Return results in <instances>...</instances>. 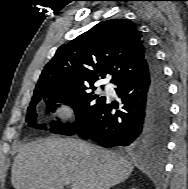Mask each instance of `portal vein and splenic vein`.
I'll use <instances>...</instances> for the list:
<instances>
[{
  "label": "portal vein and splenic vein",
  "instance_id": "portal-vein-and-splenic-vein-1",
  "mask_svg": "<svg viewBox=\"0 0 188 189\" xmlns=\"http://www.w3.org/2000/svg\"><path fill=\"white\" fill-rule=\"evenodd\" d=\"M71 189H80L78 184H72Z\"/></svg>",
  "mask_w": 188,
  "mask_h": 189
}]
</instances>
